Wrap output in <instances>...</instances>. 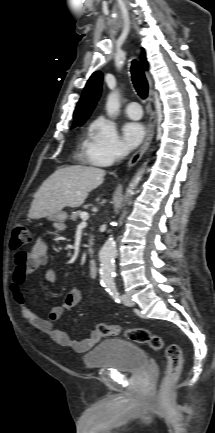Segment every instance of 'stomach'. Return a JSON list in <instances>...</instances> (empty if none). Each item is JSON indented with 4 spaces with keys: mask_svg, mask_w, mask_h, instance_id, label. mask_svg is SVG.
Instances as JSON below:
<instances>
[{
    "mask_svg": "<svg viewBox=\"0 0 215 433\" xmlns=\"http://www.w3.org/2000/svg\"><path fill=\"white\" fill-rule=\"evenodd\" d=\"M66 218H67V214H66V212H63V211H60V212L55 213L52 216H50V219L52 221L57 222V223H64Z\"/></svg>",
    "mask_w": 215,
    "mask_h": 433,
    "instance_id": "1",
    "label": "stomach"
}]
</instances>
